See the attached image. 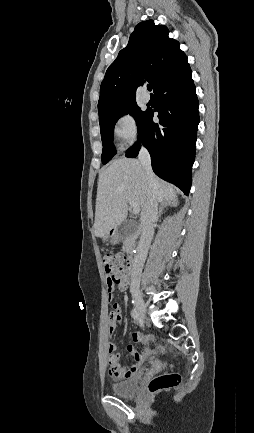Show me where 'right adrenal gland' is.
I'll list each match as a JSON object with an SVG mask.
<instances>
[{
    "label": "right adrenal gland",
    "instance_id": "right-adrenal-gland-1",
    "mask_svg": "<svg viewBox=\"0 0 254 433\" xmlns=\"http://www.w3.org/2000/svg\"><path fill=\"white\" fill-rule=\"evenodd\" d=\"M169 206L175 207V206H177V202L175 200L162 202V204L159 208V216L162 215L164 208L169 207Z\"/></svg>",
    "mask_w": 254,
    "mask_h": 433
}]
</instances>
